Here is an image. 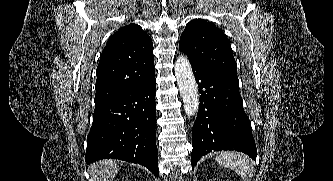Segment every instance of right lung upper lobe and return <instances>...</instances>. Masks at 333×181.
Segmentation results:
<instances>
[{
	"mask_svg": "<svg viewBox=\"0 0 333 181\" xmlns=\"http://www.w3.org/2000/svg\"><path fill=\"white\" fill-rule=\"evenodd\" d=\"M96 75L95 105L155 79L151 38L136 24L119 29L103 49Z\"/></svg>",
	"mask_w": 333,
	"mask_h": 181,
	"instance_id": "cb5924a9",
	"label": "right lung upper lobe"
}]
</instances>
